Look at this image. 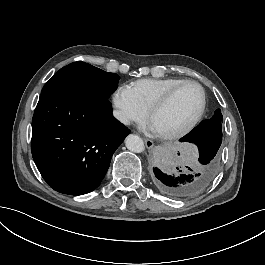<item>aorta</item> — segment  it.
Listing matches in <instances>:
<instances>
[{"mask_svg":"<svg viewBox=\"0 0 265 265\" xmlns=\"http://www.w3.org/2000/svg\"><path fill=\"white\" fill-rule=\"evenodd\" d=\"M126 147L133 153H143L145 150L144 141L137 135H129L126 138Z\"/></svg>","mask_w":265,"mask_h":265,"instance_id":"1","label":"aorta"}]
</instances>
